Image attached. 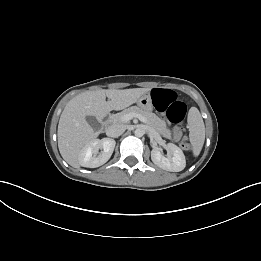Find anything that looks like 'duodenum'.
Returning a JSON list of instances; mask_svg holds the SVG:
<instances>
[{"instance_id":"duodenum-1","label":"duodenum","mask_w":261,"mask_h":261,"mask_svg":"<svg viewBox=\"0 0 261 261\" xmlns=\"http://www.w3.org/2000/svg\"><path fill=\"white\" fill-rule=\"evenodd\" d=\"M107 125L106 121H103L102 126L105 127Z\"/></svg>"}]
</instances>
